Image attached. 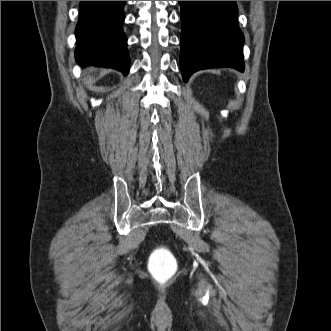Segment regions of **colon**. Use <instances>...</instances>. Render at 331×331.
Instances as JSON below:
<instances>
[{"label":"colon","mask_w":331,"mask_h":331,"mask_svg":"<svg viewBox=\"0 0 331 331\" xmlns=\"http://www.w3.org/2000/svg\"><path fill=\"white\" fill-rule=\"evenodd\" d=\"M149 270L157 282L164 284L177 272L176 259L166 248H158L150 257Z\"/></svg>","instance_id":"obj_1"}]
</instances>
